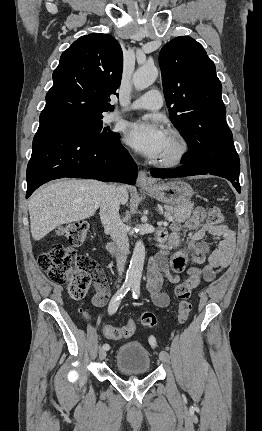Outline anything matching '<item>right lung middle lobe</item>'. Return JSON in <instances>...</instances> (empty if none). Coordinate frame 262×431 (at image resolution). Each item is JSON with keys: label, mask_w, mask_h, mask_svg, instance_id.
I'll return each instance as SVG.
<instances>
[{"label": "right lung middle lobe", "mask_w": 262, "mask_h": 431, "mask_svg": "<svg viewBox=\"0 0 262 431\" xmlns=\"http://www.w3.org/2000/svg\"><path fill=\"white\" fill-rule=\"evenodd\" d=\"M103 116H96L91 118H79L69 120L60 124L53 126H59L74 130L87 137L101 139V140H111L117 136L118 133L108 131L109 129L103 128L102 119Z\"/></svg>", "instance_id": "right-lung-middle-lobe-1"}]
</instances>
